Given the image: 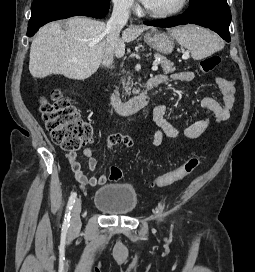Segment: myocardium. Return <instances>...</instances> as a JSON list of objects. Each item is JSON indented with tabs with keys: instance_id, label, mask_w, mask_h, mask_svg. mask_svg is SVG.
Returning a JSON list of instances; mask_svg holds the SVG:
<instances>
[{
	"instance_id": "1",
	"label": "myocardium",
	"mask_w": 255,
	"mask_h": 272,
	"mask_svg": "<svg viewBox=\"0 0 255 272\" xmlns=\"http://www.w3.org/2000/svg\"><path fill=\"white\" fill-rule=\"evenodd\" d=\"M189 0H181L180 3L169 10L166 11H162V12H152L149 9H147V7H145L144 12L153 18H167V17H172L174 15L179 14L180 12H182L186 6L188 5Z\"/></svg>"
}]
</instances>
